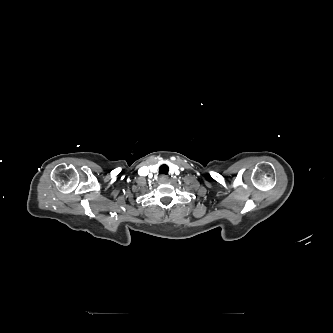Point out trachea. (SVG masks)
Returning a JSON list of instances; mask_svg holds the SVG:
<instances>
[{"mask_svg": "<svg viewBox=\"0 0 333 333\" xmlns=\"http://www.w3.org/2000/svg\"><path fill=\"white\" fill-rule=\"evenodd\" d=\"M168 171H169V167L165 164H162L160 167H159V173L160 174H168Z\"/></svg>", "mask_w": 333, "mask_h": 333, "instance_id": "trachea-1", "label": "trachea"}]
</instances>
